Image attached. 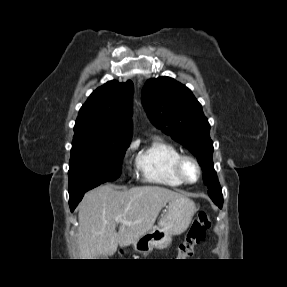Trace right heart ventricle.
<instances>
[{"label":"right heart ventricle","mask_w":287,"mask_h":287,"mask_svg":"<svg viewBox=\"0 0 287 287\" xmlns=\"http://www.w3.org/2000/svg\"><path fill=\"white\" fill-rule=\"evenodd\" d=\"M181 155L174 144L154 138L137 154L136 168L146 182L179 187L183 183L176 176L174 167Z\"/></svg>","instance_id":"right-heart-ventricle-1"}]
</instances>
